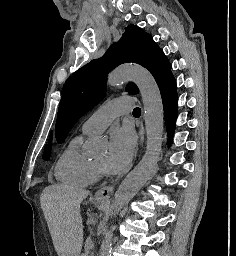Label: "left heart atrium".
<instances>
[{
    "label": "left heart atrium",
    "mask_w": 236,
    "mask_h": 256,
    "mask_svg": "<svg viewBox=\"0 0 236 256\" xmlns=\"http://www.w3.org/2000/svg\"><path fill=\"white\" fill-rule=\"evenodd\" d=\"M135 134L130 128H119L110 135V147L106 156V167L119 172L129 163L135 149Z\"/></svg>",
    "instance_id": "39dd6f15"
}]
</instances>
